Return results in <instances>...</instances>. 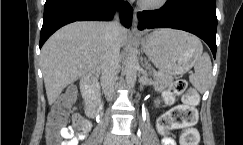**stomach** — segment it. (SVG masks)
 <instances>
[{
	"instance_id": "0dacf381",
	"label": "stomach",
	"mask_w": 243,
	"mask_h": 145,
	"mask_svg": "<svg viewBox=\"0 0 243 145\" xmlns=\"http://www.w3.org/2000/svg\"><path fill=\"white\" fill-rule=\"evenodd\" d=\"M145 54L166 75L189 71L202 52L200 41L193 35L173 29H160L141 39Z\"/></svg>"
}]
</instances>
